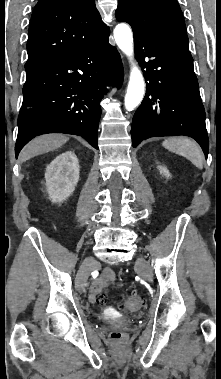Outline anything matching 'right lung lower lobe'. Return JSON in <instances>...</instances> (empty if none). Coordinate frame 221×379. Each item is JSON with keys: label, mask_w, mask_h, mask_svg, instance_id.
Here are the masks:
<instances>
[{"label": "right lung lower lobe", "mask_w": 221, "mask_h": 379, "mask_svg": "<svg viewBox=\"0 0 221 379\" xmlns=\"http://www.w3.org/2000/svg\"><path fill=\"white\" fill-rule=\"evenodd\" d=\"M107 29L87 44L25 67L23 103L18 117L16 158L35 136H82L98 149L100 101L106 86H121L124 72Z\"/></svg>", "instance_id": "obj_1"}]
</instances>
